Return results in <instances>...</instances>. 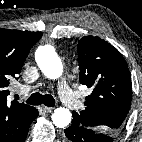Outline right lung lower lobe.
<instances>
[{"label":"right lung lower lobe","instance_id":"right-lung-lower-lobe-1","mask_svg":"<svg viewBox=\"0 0 142 142\" xmlns=\"http://www.w3.org/2000/svg\"><path fill=\"white\" fill-rule=\"evenodd\" d=\"M37 116H38V110H36V114L34 116V119L37 118ZM28 128L25 130L24 134L20 137V139L17 142H24L26 140V137H27V134H28Z\"/></svg>","mask_w":142,"mask_h":142}]
</instances>
